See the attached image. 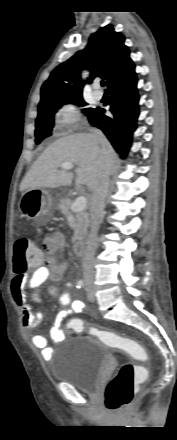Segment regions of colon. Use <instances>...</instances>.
I'll return each instance as SVG.
<instances>
[{"label": "colon", "mask_w": 177, "mask_h": 440, "mask_svg": "<svg viewBox=\"0 0 177 440\" xmlns=\"http://www.w3.org/2000/svg\"><path fill=\"white\" fill-rule=\"evenodd\" d=\"M13 253V268L16 273H24L30 267L43 261L42 252L27 237L19 238L15 242ZM66 329L77 333L87 330L92 336L97 337L109 347L128 352L138 361L147 359L144 347L133 339L101 330L93 325L86 324L80 318H71L66 324ZM146 376V370L140 365L123 364L106 386L104 392L105 406L113 411L127 407L133 400L138 385L145 380Z\"/></svg>", "instance_id": "1"}]
</instances>
